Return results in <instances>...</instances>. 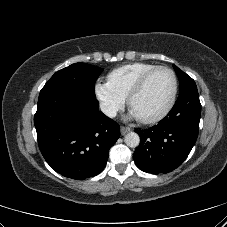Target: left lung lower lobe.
Returning <instances> with one entry per match:
<instances>
[{
    "label": "left lung lower lobe",
    "instance_id": "1",
    "mask_svg": "<svg viewBox=\"0 0 227 227\" xmlns=\"http://www.w3.org/2000/svg\"><path fill=\"white\" fill-rule=\"evenodd\" d=\"M201 116L197 89L179 95L168 115L157 125L136 130L141 143L133 158L144 172L168 173L180 166L194 146Z\"/></svg>",
    "mask_w": 227,
    "mask_h": 227
}]
</instances>
